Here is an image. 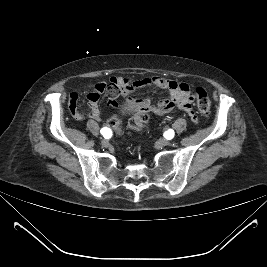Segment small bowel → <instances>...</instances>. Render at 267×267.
<instances>
[{
    "label": "small bowel",
    "instance_id": "c3829d8e",
    "mask_svg": "<svg viewBox=\"0 0 267 267\" xmlns=\"http://www.w3.org/2000/svg\"><path fill=\"white\" fill-rule=\"evenodd\" d=\"M156 87L167 91V96L153 102L151 100H133L131 94L139 88ZM91 91L87 94L88 115L93 119H100L98 109V100L100 94H105L110 106H117L116 98L121 96L126 101L137 105L148 113L155 115H164L175 109L187 113L192 122L197 123V116L192 110L191 103L193 95L191 88L187 83L177 82L163 77H151L143 79L112 77L109 83H95L90 86ZM78 95L71 93L69 97V106L73 116L81 119L82 114L77 109Z\"/></svg>",
    "mask_w": 267,
    "mask_h": 267
}]
</instances>
